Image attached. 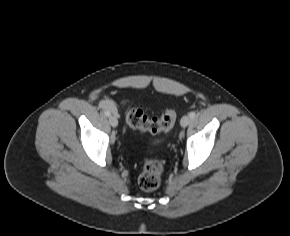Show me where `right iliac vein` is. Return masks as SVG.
I'll list each match as a JSON object with an SVG mask.
<instances>
[{"label":"right iliac vein","instance_id":"right-iliac-vein-1","mask_svg":"<svg viewBox=\"0 0 290 236\" xmlns=\"http://www.w3.org/2000/svg\"><path fill=\"white\" fill-rule=\"evenodd\" d=\"M109 122H110L112 127H117L118 126V120H117L116 115L110 116L109 117Z\"/></svg>","mask_w":290,"mask_h":236}]
</instances>
